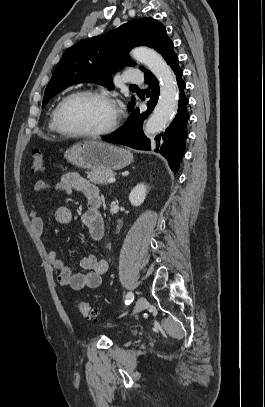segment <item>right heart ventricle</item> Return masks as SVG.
<instances>
[{
    "instance_id": "right-heart-ventricle-1",
    "label": "right heart ventricle",
    "mask_w": 265,
    "mask_h": 407,
    "mask_svg": "<svg viewBox=\"0 0 265 407\" xmlns=\"http://www.w3.org/2000/svg\"><path fill=\"white\" fill-rule=\"evenodd\" d=\"M55 111H56V107L53 109V111L51 112V116H50V121H49V125L48 128L51 132L56 133V134H60L59 130L57 129L56 126V121H55Z\"/></svg>"
}]
</instances>
